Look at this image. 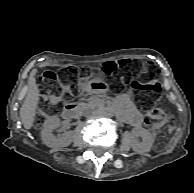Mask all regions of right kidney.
Listing matches in <instances>:
<instances>
[{"label": "right kidney", "instance_id": "1", "mask_svg": "<svg viewBox=\"0 0 194 193\" xmlns=\"http://www.w3.org/2000/svg\"><path fill=\"white\" fill-rule=\"evenodd\" d=\"M60 126V119L57 116L49 117L43 124L41 130V139L43 143L50 148H60L69 146L72 142L70 132H66L61 136H55L53 130Z\"/></svg>", "mask_w": 194, "mask_h": 193}]
</instances>
